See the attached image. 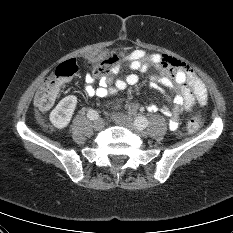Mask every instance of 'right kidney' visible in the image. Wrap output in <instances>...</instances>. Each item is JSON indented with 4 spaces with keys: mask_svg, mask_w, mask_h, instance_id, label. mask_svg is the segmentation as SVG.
Wrapping results in <instances>:
<instances>
[{
    "mask_svg": "<svg viewBox=\"0 0 233 233\" xmlns=\"http://www.w3.org/2000/svg\"><path fill=\"white\" fill-rule=\"evenodd\" d=\"M77 97L69 95L63 98L50 113V121L57 129H63L69 124L76 108Z\"/></svg>",
    "mask_w": 233,
    "mask_h": 233,
    "instance_id": "ca27d5eb",
    "label": "right kidney"
}]
</instances>
